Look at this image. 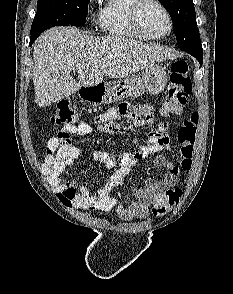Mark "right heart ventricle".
Instances as JSON below:
<instances>
[{"instance_id":"1","label":"right heart ventricle","mask_w":233,"mask_h":294,"mask_svg":"<svg viewBox=\"0 0 233 294\" xmlns=\"http://www.w3.org/2000/svg\"><path fill=\"white\" fill-rule=\"evenodd\" d=\"M135 0H106L98 13L101 30L111 36L131 40H147L134 26L131 18Z\"/></svg>"}]
</instances>
